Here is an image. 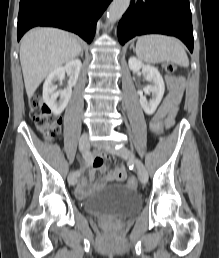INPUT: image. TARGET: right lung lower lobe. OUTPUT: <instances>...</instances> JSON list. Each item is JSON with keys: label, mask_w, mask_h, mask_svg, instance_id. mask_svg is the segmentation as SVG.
<instances>
[{"label": "right lung lower lobe", "mask_w": 219, "mask_h": 258, "mask_svg": "<svg viewBox=\"0 0 219 258\" xmlns=\"http://www.w3.org/2000/svg\"><path fill=\"white\" fill-rule=\"evenodd\" d=\"M112 0H20L17 38L35 26H52L93 40L96 23Z\"/></svg>", "instance_id": "right-lung-lower-lobe-1"}]
</instances>
